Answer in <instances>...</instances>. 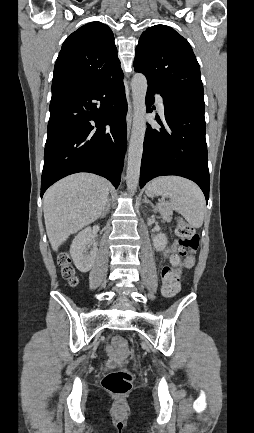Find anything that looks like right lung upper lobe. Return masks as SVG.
I'll use <instances>...</instances> for the list:
<instances>
[{
    "label": "right lung upper lobe",
    "mask_w": 254,
    "mask_h": 433,
    "mask_svg": "<svg viewBox=\"0 0 254 433\" xmlns=\"http://www.w3.org/2000/svg\"><path fill=\"white\" fill-rule=\"evenodd\" d=\"M122 77L111 29L101 22H91L64 41L54 67L52 91L96 86Z\"/></svg>",
    "instance_id": "right-lung-upper-lobe-1"
}]
</instances>
